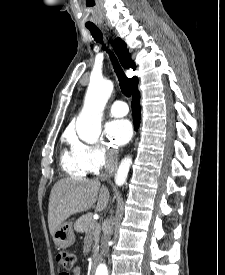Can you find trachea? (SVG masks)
<instances>
[{
	"mask_svg": "<svg viewBox=\"0 0 225 275\" xmlns=\"http://www.w3.org/2000/svg\"><path fill=\"white\" fill-rule=\"evenodd\" d=\"M87 28L90 30L92 36L94 37V39L97 42L102 41V33L96 26L87 27ZM109 54H110V58H111V61L113 63V66H114V70H115V72L118 76L119 82H120L121 91L125 96L130 97L131 94H132L130 81L126 77L124 72L122 71V69H121L117 59L115 58L114 54L110 51H109Z\"/></svg>",
	"mask_w": 225,
	"mask_h": 275,
	"instance_id": "1",
	"label": "trachea"
}]
</instances>
